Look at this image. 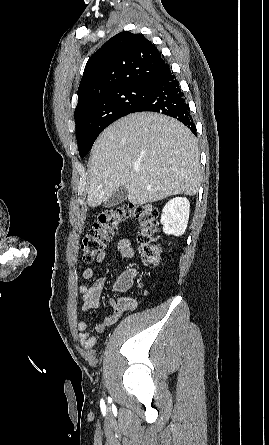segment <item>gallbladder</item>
Listing matches in <instances>:
<instances>
[{"label": "gallbladder", "mask_w": 269, "mask_h": 445, "mask_svg": "<svg viewBox=\"0 0 269 445\" xmlns=\"http://www.w3.org/2000/svg\"><path fill=\"white\" fill-rule=\"evenodd\" d=\"M127 199V190L121 186L113 192V194L104 202L106 208L119 205Z\"/></svg>", "instance_id": "obj_1"}]
</instances>
